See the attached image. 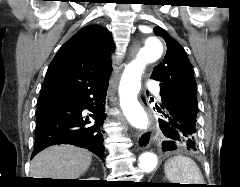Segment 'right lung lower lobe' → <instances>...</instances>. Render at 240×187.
Returning a JSON list of instances; mask_svg holds the SVG:
<instances>
[{
    "mask_svg": "<svg viewBox=\"0 0 240 187\" xmlns=\"http://www.w3.org/2000/svg\"><path fill=\"white\" fill-rule=\"evenodd\" d=\"M109 79L95 81L84 89L38 101L33 155L55 144H72L104 157L105 97ZM87 109L91 113L86 114Z\"/></svg>",
    "mask_w": 240,
    "mask_h": 187,
    "instance_id": "98d812e1",
    "label": "right lung lower lobe"
}]
</instances>
